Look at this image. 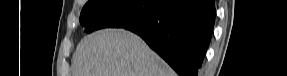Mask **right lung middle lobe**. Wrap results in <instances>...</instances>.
Returning a JSON list of instances; mask_svg holds the SVG:
<instances>
[{
	"instance_id": "right-lung-middle-lobe-1",
	"label": "right lung middle lobe",
	"mask_w": 287,
	"mask_h": 76,
	"mask_svg": "<svg viewBox=\"0 0 287 76\" xmlns=\"http://www.w3.org/2000/svg\"><path fill=\"white\" fill-rule=\"evenodd\" d=\"M162 0H91L80 14L85 32L103 28H126L150 18Z\"/></svg>"
}]
</instances>
